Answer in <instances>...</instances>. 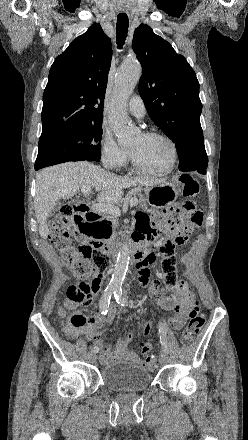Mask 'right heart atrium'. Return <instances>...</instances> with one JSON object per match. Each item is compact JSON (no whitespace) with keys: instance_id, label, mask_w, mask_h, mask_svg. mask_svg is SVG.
Segmentation results:
<instances>
[{"instance_id":"obj_1","label":"right heart atrium","mask_w":248,"mask_h":440,"mask_svg":"<svg viewBox=\"0 0 248 440\" xmlns=\"http://www.w3.org/2000/svg\"><path fill=\"white\" fill-rule=\"evenodd\" d=\"M100 147L102 160L111 168L118 169L127 163L130 155L129 150L116 141L109 129L102 131Z\"/></svg>"}]
</instances>
